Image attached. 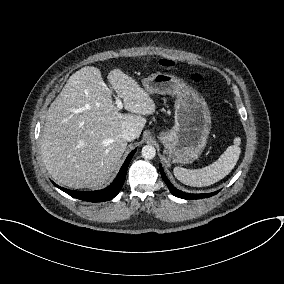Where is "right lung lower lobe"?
Returning <instances> with one entry per match:
<instances>
[{
    "label": "right lung lower lobe",
    "instance_id": "1",
    "mask_svg": "<svg viewBox=\"0 0 284 284\" xmlns=\"http://www.w3.org/2000/svg\"><path fill=\"white\" fill-rule=\"evenodd\" d=\"M136 150H133L128 157L126 158L124 164L122 165L117 177L115 180L105 189L98 190V191H73L63 187H60L53 183L56 187L64 191L65 193L69 194L70 196L89 202H103L113 199L121 190L125 178L128 165L134 155Z\"/></svg>",
    "mask_w": 284,
    "mask_h": 284
}]
</instances>
